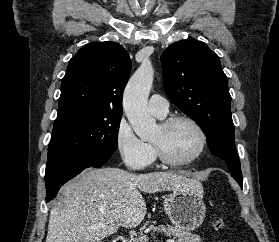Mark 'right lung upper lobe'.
Listing matches in <instances>:
<instances>
[{"label": "right lung upper lobe", "instance_id": "cb5924a9", "mask_svg": "<svg viewBox=\"0 0 279 242\" xmlns=\"http://www.w3.org/2000/svg\"><path fill=\"white\" fill-rule=\"evenodd\" d=\"M130 71L129 54L121 45L112 41L85 45L68 64L58 114L90 110L122 115V96Z\"/></svg>", "mask_w": 279, "mask_h": 242}]
</instances>
